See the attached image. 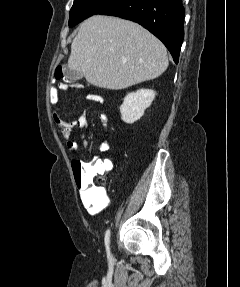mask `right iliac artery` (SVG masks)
<instances>
[{
    "label": "right iliac artery",
    "mask_w": 240,
    "mask_h": 287,
    "mask_svg": "<svg viewBox=\"0 0 240 287\" xmlns=\"http://www.w3.org/2000/svg\"><path fill=\"white\" fill-rule=\"evenodd\" d=\"M105 246L107 254L110 255V229H108L105 234Z\"/></svg>",
    "instance_id": "1"
}]
</instances>
